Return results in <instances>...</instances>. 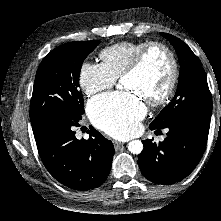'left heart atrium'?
Returning a JSON list of instances; mask_svg holds the SVG:
<instances>
[{
  "instance_id": "39dd6f15",
  "label": "left heart atrium",
  "mask_w": 221,
  "mask_h": 221,
  "mask_svg": "<svg viewBox=\"0 0 221 221\" xmlns=\"http://www.w3.org/2000/svg\"><path fill=\"white\" fill-rule=\"evenodd\" d=\"M88 114L94 125L110 136L128 139L138 132L146 106L135 91L110 93L91 100Z\"/></svg>"
}]
</instances>
